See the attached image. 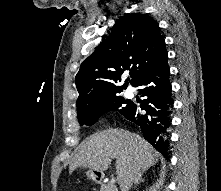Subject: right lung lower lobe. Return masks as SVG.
<instances>
[{
  "instance_id": "right-lung-lower-lobe-1",
  "label": "right lung lower lobe",
  "mask_w": 221,
  "mask_h": 191,
  "mask_svg": "<svg viewBox=\"0 0 221 191\" xmlns=\"http://www.w3.org/2000/svg\"><path fill=\"white\" fill-rule=\"evenodd\" d=\"M167 59L166 52L134 85L141 87L139 94L147 99L140 105L131 103V108L125 115V118L140 127L144 138L164 156L168 155V128L171 125L174 103ZM142 110L146 114H142Z\"/></svg>"
}]
</instances>
